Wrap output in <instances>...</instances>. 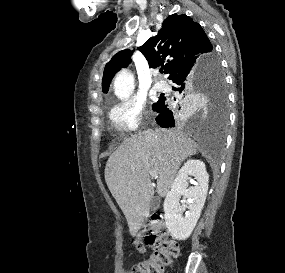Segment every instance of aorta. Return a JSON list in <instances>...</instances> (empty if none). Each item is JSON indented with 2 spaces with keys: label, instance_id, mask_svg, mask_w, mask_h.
<instances>
[{
  "label": "aorta",
  "instance_id": "obj_1",
  "mask_svg": "<svg viewBox=\"0 0 285 273\" xmlns=\"http://www.w3.org/2000/svg\"><path fill=\"white\" fill-rule=\"evenodd\" d=\"M134 76L127 70H122L115 78L114 91L120 99H127L134 90Z\"/></svg>",
  "mask_w": 285,
  "mask_h": 273
}]
</instances>
